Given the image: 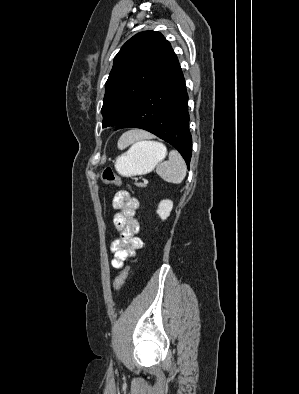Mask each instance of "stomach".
I'll return each mask as SVG.
<instances>
[{
  "instance_id": "0dacf381",
  "label": "stomach",
  "mask_w": 299,
  "mask_h": 394,
  "mask_svg": "<svg viewBox=\"0 0 299 394\" xmlns=\"http://www.w3.org/2000/svg\"><path fill=\"white\" fill-rule=\"evenodd\" d=\"M166 156V149L147 141H142L132 150L118 157L115 168L122 176L143 175L151 172Z\"/></svg>"
}]
</instances>
